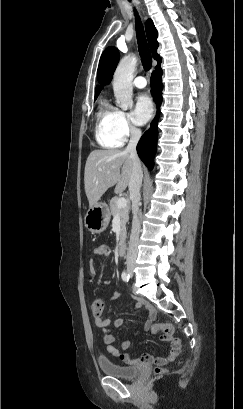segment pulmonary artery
Instances as JSON below:
<instances>
[{"label": "pulmonary artery", "instance_id": "e3ab8cb5", "mask_svg": "<svg viewBox=\"0 0 243 409\" xmlns=\"http://www.w3.org/2000/svg\"><path fill=\"white\" fill-rule=\"evenodd\" d=\"M133 85L136 88L142 89L146 87L147 81L144 76H137L133 81Z\"/></svg>", "mask_w": 243, "mask_h": 409}]
</instances>
